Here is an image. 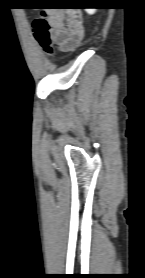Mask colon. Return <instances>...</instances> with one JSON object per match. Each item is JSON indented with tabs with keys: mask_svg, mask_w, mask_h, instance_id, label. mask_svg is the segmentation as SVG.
<instances>
[{
	"mask_svg": "<svg viewBox=\"0 0 145 278\" xmlns=\"http://www.w3.org/2000/svg\"><path fill=\"white\" fill-rule=\"evenodd\" d=\"M68 8L74 9H82L84 5L81 3L76 4H68L65 5ZM34 8H44L41 9L39 12V16L34 21V30H35V37L42 45L45 52L50 53V43H51V23L49 19V13L54 6H47V7H34Z\"/></svg>",
	"mask_w": 145,
	"mask_h": 278,
	"instance_id": "5ec220e1",
	"label": "colon"
}]
</instances>
